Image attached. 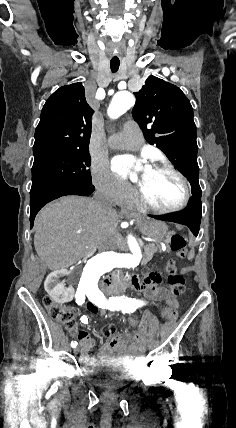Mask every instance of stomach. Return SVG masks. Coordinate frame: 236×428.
Segmentation results:
<instances>
[{"label":"stomach","instance_id":"obj_1","mask_svg":"<svg viewBox=\"0 0 236 428\" xmlns=\"http://www.w3.org/2000/svg\"><path fill=\"white\" fill-rule=\"evenodd\" d=\"M143 232L147 238L163 240L167 234V226L164 222H146Z\"/></svg>","mask_w":236,"mask_h":428}]
</instances>
